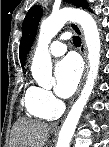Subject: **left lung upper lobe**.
Returning a JSON list of instances; mask_svg holds the SVG:
<instances>
[{"instance_id":"left-lung-upper-lobe-1","label":"left lung upper lobe","mask_w":109,"mask_h":147,"mask_svg":"<svg viewBox=\"0 0 109 147\" xmlns=\"http://www.w3.org/2000/svg\"><path fill=\"white\" fill-rule=\"evenodd\" d=\"M70 1L77 7H83L84 9L88 8V3L85 0H70ZM41 16H42V8L40 6H33L29 9L24 19L23 35L20 41V48H19V56L22 65H24L26 56L33 44Z\"/></svg>"}]
</instances>
